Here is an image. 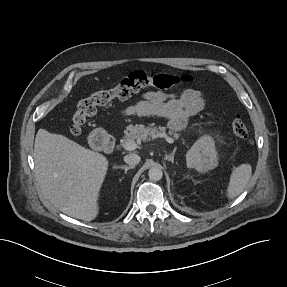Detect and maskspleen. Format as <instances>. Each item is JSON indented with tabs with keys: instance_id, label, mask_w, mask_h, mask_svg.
I'll return each mask as SVG.
<instances>
[{
	"instance_id": "3e777b00",
	"label": "spleen",
	"mask_w": 287,
	"mask_h": 287,
	"mask_svg": "<svg viewBox=\"0 0 287 287\" xmlns=\"http://www.w3.org/2000/svg\"><path fill=\"white\" fill-rule=\"evenodd\" d=\"M252 176V167L248 163L234 167L227 187V196L232 199L240 195Z\"/></svg>"
}]
</instances>
